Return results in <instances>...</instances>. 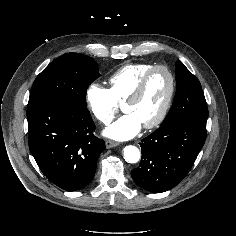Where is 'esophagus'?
Masks as SVG:
<instances>
[{"instance_id": "34e87169", "label": "esophagus", "mask_w": 236, "mask_h": 236, "mask_svg": "<svg viewBox=\"0 0 236 236\" xmlns=\"http://www.w3.org/2000/svg\"><path fill=\"white\" fill-rule=\"evenodd\" d=\"M105 144L108 149L119 145V143L111 140H107Z\"/></svg>"}]
</instances>
